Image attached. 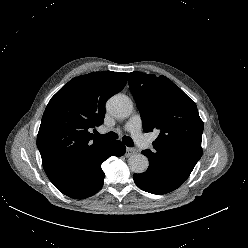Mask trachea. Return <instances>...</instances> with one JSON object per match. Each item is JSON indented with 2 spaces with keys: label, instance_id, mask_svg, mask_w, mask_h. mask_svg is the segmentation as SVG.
<instances>
[{
  "label": "trachea",
  "instance_id": "trachea-1",
  "mask_svg": "<svg viewBox=\"0 0 248 248\" xmlns=\"http://www.w3.org/2000/svg\"><path fill=\"white\" fill-rule=\"evenodd\" d=\"M95 135L101 139H109V140H115L118 138V135L115 132H109L106 134H99L98 132L95 133ZM122 141L127 147H133L134 142L129 136H124L122 138Z\"/></svg>",
  "mask_w": 248,
  "mask_h": 248
}]
</instances>
